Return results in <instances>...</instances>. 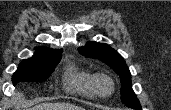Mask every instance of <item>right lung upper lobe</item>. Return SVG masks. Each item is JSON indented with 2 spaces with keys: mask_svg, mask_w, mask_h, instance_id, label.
<instances>
[{
  "mask_svg": "<svg viewBox=\"0 0 171 110\" xmlns=\"http://www.w3.org/2000/svg\"><path fill=\"white\" fill-rule=\"evenodd\" d=\"M35 50H36L35 55L32 58L39 59V60L55 58L61 56L62 53V50H54V49L42 48V47H37L35 48Z\"/></svg>",
  "mask_w": 171,
  "mask_h": 110,
  "instance_id": "right-lung-upper-lobe-1",
  "label": "right lung upper lobe"
}]
</instances>
